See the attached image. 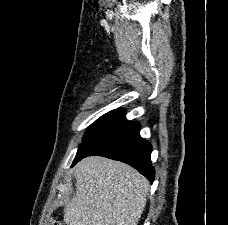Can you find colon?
I'll use <instances>...</instances> for the list:
<instances>
[{"label":"colon","mask_w":228,"mask_h":225,"mask_svg":"<svg viewBox=\"0 0 228 225\" xmlns=\"http://www.w3.org/2000/svg\"><path fill=\"white\" fill-rule=\"evenodd\" d=\"M52 225H63L61 222H56V221H54L53 223H52Z\"/></svg>","instance_id":"5ec220e1"}]
</instances>
